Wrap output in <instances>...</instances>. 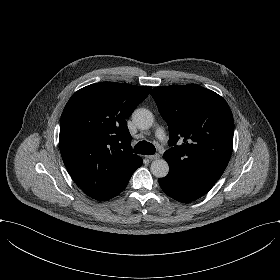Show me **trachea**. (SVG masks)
Here are the masks:
<instances>
[{
    "instance_id": "3493384b",
    "label": "trachea",
    "mask_w": 280,
    "mask_h": 280,
    "mask_svg": "<svg viewBox=\"0 0 280 280\" xmlns=\"http://www.w3.org/2000/svg\"><path fill=\"white\" fill-rule=\"evenodd\" d=\"M134 153L152 155L155 153V146L147 141H140L136 144Z\"/></svg>"
}]
</instances>
